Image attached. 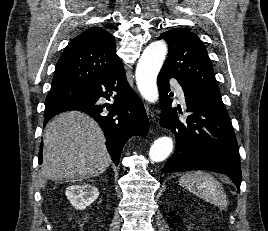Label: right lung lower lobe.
<instances>
[{"label": "right lung lower lobe", "instance_id": "98d812e1", "mask_svg": "<svg viewBox=\"0 0 268 231\" xmlns=\"http://www.w3.org/2000/svg\"><path fill=\"white\" fill-rule=\"evenodd\" d=\"M111 96L114 99L113 104L99 102L100 97L109 100ZM67 110L85 112L99 123L107 139L106 147L116 166L129 137L143 136L149 130L144 106L129 86L122 63L105 76L91 82L86 87L85 96L45 107L44 125L56 114ZM41 163L40 153L39 164Z\"/></svg>", "mask_w": 268, "mask_h": 231}]
</instances>
